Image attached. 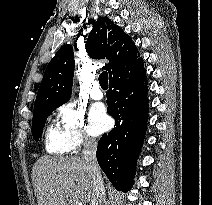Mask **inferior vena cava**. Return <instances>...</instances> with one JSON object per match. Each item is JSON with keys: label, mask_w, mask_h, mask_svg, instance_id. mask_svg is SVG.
I'll use <instances>...</instances> for the list:
<instances>
[{"label": "inferior vena cava", "mask_w": 212, "mask_h": 205, "mask_svg": "<svg viewBox=\"0 0 212 205\" xmlns=\"http://www.w3.org/2000/svg\"><path fill=\"white\" fill-rule=\"evenodd\" d=\"M97 142L88 136L84 138L82 160L92 171L93 196L90 205H105V189L96 159Z\"/></svg>", "instance_id": "602c4592"}]
</instances>
